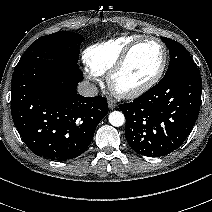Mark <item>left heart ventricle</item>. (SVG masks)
<instances>
[{"label":"left heart ventricle","mask_w":212,"mask_h":212,"mask_svg":"<svg viewBox=\"0 0 212 212\" xmlns=\"http://www.w3.org/2000/svg\"><path fill=\"white\" fill-rule=\"evenodd\" d=\"M163 59L162 48L155 42L139 45L117 78L122 89L139 86L149 80L159 69Z\"/></svg>","instance_id":"left-heart-ventricle-1"}]
</instances>
